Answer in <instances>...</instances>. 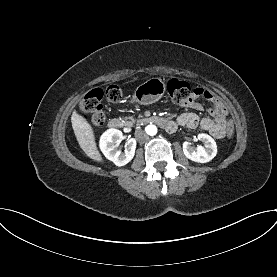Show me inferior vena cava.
<instances>
[{"label":"inferior vena cava","mask_w":277,"mask_h":277,"mask_svg":"<svg viewBox=\"0 0 277 277\" xmlns=\"http://www.w3.org/2000/svg\"><path fill=\"white\" fill-rule=\"evenodd\" d=\"M135 136H136L137 140L141 143L146 142L149 138L148 135L146 134V132L143 130H137L135 133Z\"/></svg>","instance_id":"inferior-vena-cava-1"}]
</instances>
